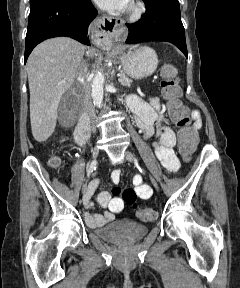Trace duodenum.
Returning <instances> with one entry per match:
<instances>
[{"label": "duodenum", "instance_id": "obj_1", "mask_svg": "<svg viewBox=\"0 0 240 288\" xmlns=\"http://www.w3.org/2000/svg\"><path fill=\"white\" fill-rule=\"evenodd\" d=\"M75 139L78 144H84L89 137V123L86 114H83L75 129Z\"/></svg>", "mask_w": 240, "mask_h": 288}]
</instances>
